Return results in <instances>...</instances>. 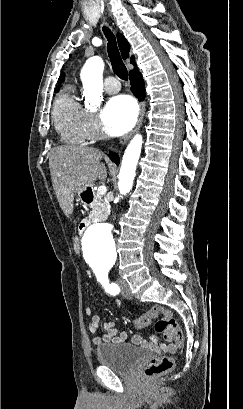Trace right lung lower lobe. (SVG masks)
<instances>
[{
  "label": "right lung lower lobe",
  "mask_w": 243,
  "mask_h": 409,
  "mask_svg": "<svg viewBox=\"0 0 243 409\" xmlns=\"http://www.w3.org/2000/svg\"><path fill=\"white\" fill-rule=\"evenodd\" d=\"M130 83H131L134 95L137 98H139V100H142L145 96V88H144L143 78L138 71H135L132 74H130ZM110 159L116 164H119V158L117 157V154H113L111 152Z\"/></svg>",
  "instance_id": "obj_1"
}]
</instances>
